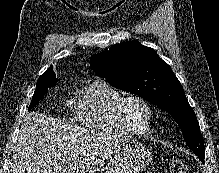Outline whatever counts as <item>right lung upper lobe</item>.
Returning <instances> with one entry per match:
<instances>
[{
  "instance_id": "1",
  "label": "right lung upper lobe",
  "mask_w": 219,
  "mask_h": 173,
  "mask_svg": "<svg viewBox=\"0 0 219 173\" xmlns=\"http://www.w3.org/2000/svg\"><path fill=\"white\" fill-rule=\"evenodd\" d=\"M51 74H55L54 72H53V69H52V67H50L43 75H51ZM42 76V75H41ZM55 80H57L58 81V79L57 78H55Z\"/></svg>"
}]
</instances>
